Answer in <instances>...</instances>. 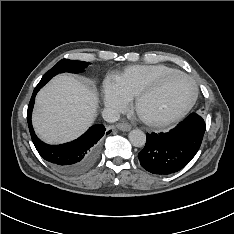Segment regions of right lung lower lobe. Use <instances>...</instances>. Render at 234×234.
<instances>
[{
  "label": "right lung lower lobe",
  "mask_w": 234,
  "mask_h": 234,
  "mask_svg": "<svg viewBox=\"0 0 234 234\" xmlns=\"http://www.w3.org/2000/svg\"><path fill=\"white\" fill-rule=\"evenodd\" d=\"M42 87L37 85L34 89L27 111V121L32 141L41 157L53 164L60 172L68 175L80 174L89 169L95 162L99 152V140L105 133V127L102 124L94 125L81 137L66 144L48 145L42 142L35 135L31 123L35 96ZM108 133L110 131L106 134Z\"/></svg>",
  "instance_id": "obj_1"
}]
</instances>
